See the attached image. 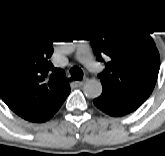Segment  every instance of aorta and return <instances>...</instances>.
<instances>
[{
	"label": "aorta",
	"mask_w": 165,
	"mask_h": 156,
	"mask_svg": "<svg viewBox=\"0 0 165 156\" xmlns=\"http://www.w3.org/2000/svg\"><path fill=\"white\" fill-rule=\"evenodd\" d=\"M76 43H77V41L61 42V43H59V45H61V49L64 52L70 53V52L75 51L76 46H77ZM102 89H103L102 84L97 79H91V80L87 81L83 86V92L89 98L99 97L102 93Z\"/></svg>",
	"instance_id": "obj_1"
}]
</instances>
